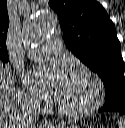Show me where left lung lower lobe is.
<instances>
[{
    "label": "left lung lower lobe",
    "mask_w": 125,
    "mask_h": 128,
    "mask_svg": "<svg viewBox=\"0 0 125 128\" xmlns=\"http://www.w3.org/2000/svg\"><path fill=\"white\" fill-rule=\"evenodd\" d=\"M100 112H119L125 114V103H121L119 105H112V106H103Z\"/></svg>",
    "instance_id": "1"
}]
</instances>
